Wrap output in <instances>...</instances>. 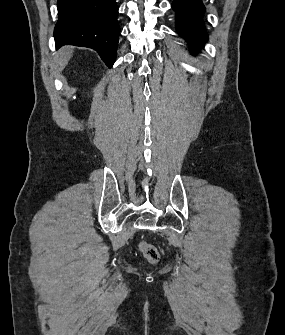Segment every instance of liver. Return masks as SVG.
<instances>
[{"mask_svg": "<svg viewBox=\"0 0 285 335\" xmlns=\"http://www.w3.org/2000/svg\"><path fill=\"white\" fill-rule=\"evenodd\" d=\"M73 50L69 48V46H65V48H61L59 52H57V68L58 72H62L65 66H67L70 58H72Z\"/></svg>", "mask_w": 285, "mask_h": 335, "instance_id": "obj_1", "label": "liver"}]
</instances>
